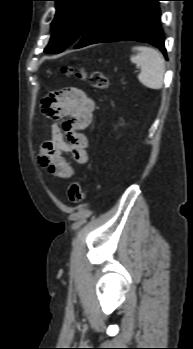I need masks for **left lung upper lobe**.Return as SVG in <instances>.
<instances>
[{
	"label": "left lung upper lobe",
	"instance_id": "5c2ea615",
	"mask_svg": "<svg viewBox=\"0 0 193 349\" xmlns=\"http://www.w3.org/2000/svg\"><path fill=\"white\" fill-rule=\"evenodd\" d=\"M56 15L47 53H60L78 40L109 0H53Z\"/></svg>",
	"mask_w": 193,
	"mask_h": 349
}]
</instances>
